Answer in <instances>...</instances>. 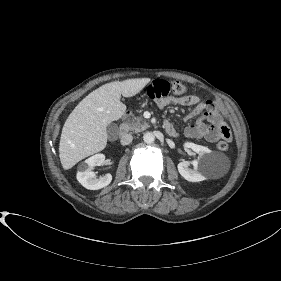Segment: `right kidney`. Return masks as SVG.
I'll list each match as a JSON object with an SVG mask.
<instances>
[{
  "mask_svg": "<svg viewBox=\"0 0 281 281\" xmlns=\"http://www.w3.org/2000/svg\"><path fill=\"white\" fill-rule=\"evenodd\" d=\"M104 161V154H96L86 159L82 164L79 165L76 176L78 182L89 190H98L108 186L112 181L111 174H106L97 178L96 174L92 171L94 167L103 165Z\"/></svg>",
  "mask_w": 281,
  "mask_h": 281,
  "instance_id": "ca27d5eb",
  "label": "right kidney"
}]
</instances>
